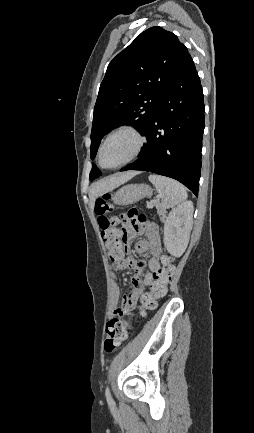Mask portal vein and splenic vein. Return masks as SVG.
I'll list each match as a JSON object with an SVG mask.
<instances>
[{"label": "portal vein and splenic vein", "mask_w": 254, "mask_h": 433, "mask_svg": "<svg viewBox=\"0 0 254 433\" xmlns=\"http://www.w3.org/2000/svg\"><path fill=\"white\" fill-rule=\"evenodd\" d=\"M149 207H152L153 206V204L152 203H150L149 205H148Z\"/></svg>", "instance_id": "18ae733b"}]
</instances>
